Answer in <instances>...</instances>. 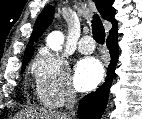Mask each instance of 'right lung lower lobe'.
I'll list each match as a JSON object with an SVG mask.
<instances>
[{
  "label": "right lung lower lobe",
  "mask_w": 142,
  "mask_h": 119,
  "mask_svg": "<svg viewBox=\"0 0 142 119\" xmlns=\"http://www.w3.org/2000/svg\"><path fill=\"white\" fill-rule=\"evenodd\" d=\"M109 35L107 38V47L110 52L111 61L108 66L105 82L95 92L81 99L78 107V116L80 119H100L107 105L119 52L117 42L118 33H110Z\"/></svg>",
  "instance_id": "obj_1"
}]
</instances>
